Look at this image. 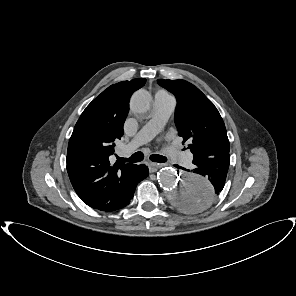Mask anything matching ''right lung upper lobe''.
<instances>
[{
  "label": "right lung upper lobe",
  "instance_id": "cb5924a9",
  "mask_svg": "<svg viewBox=\"0 0 296 296\" xmlns=\"http://www.w3.org/2000/svg\"><path fill=\"white\" fill-rule=\"evenodd\" d=\"M146 79L111 85L97 96L77 121L67 150V171L81 200L101 211L116 210L127 193L133 164H114L109 157L123 136L131 95Z\"/></svg>",
  "mask_w": 296,
  "mask_h": 296
}]
</instances>
